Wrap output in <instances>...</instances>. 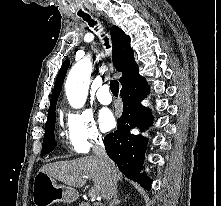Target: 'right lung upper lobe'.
I'll use <instances>...</instances> for the list:
<instances>
[{
  "label": "right lung upper lobe",
  "instance_id": "cb5924a9",
  "mask_svg": "<svg viewBox=\"0 0 221 206\" xmlns=\"http://www.w3.org/2000/svg\"><path fill=\"white\" fill-rule=\"evenodd\" d=\"M110 34L113 44V63L116 69L123 73L119 79L120 83L123 84L128 78L138 72V66L134 60V51L130 47V37L117 26H112ZM68 66L69 60H66L59 70L52 92L49 113L56 108V102L62 90Z\"/></svg>",
  "mask_w": 221,
  "mask_h": 206
}]
</instances>
